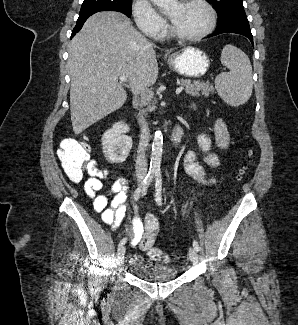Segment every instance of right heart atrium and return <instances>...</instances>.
I'll list each match as a JSON object with an SVG mask.
<instances>
[{"label": "right heart atrium", "instance_id": "1", "mask_svg": "<svg viewBox=\"0 0 298 325\" xmlns=\"http://www.w3.org/2000/svg\"><path fill=\"white\" fill-rule=\"evenodd\" d=\"M133 15L139 30L150 34V41H165L166 22L157 13L150 0H136Z\"/></svg>", "mask_w": 298, "mask_h": 325}]
</instances>
